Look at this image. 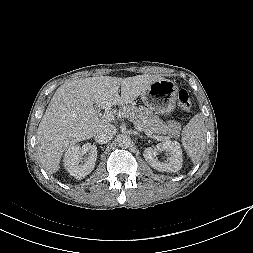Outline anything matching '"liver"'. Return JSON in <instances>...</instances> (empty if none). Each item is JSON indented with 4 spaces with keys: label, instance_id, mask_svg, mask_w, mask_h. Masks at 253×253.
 <instances>
[{
    "label": "liver",
    "instance_id": "1",
    "mask_svg": "<svg viewBox=\"0 0 253 253\" xmlns=\"http://www.w3.org/2000/svg\"><path fill=\"white\" fill-rule=\"evenodd\" d=\"M164 79L159 75H137L127 78L89 77L65 82L54 93L37 131L40 162L50 174L59 170L65 150L75 143L90 139L108 124L98 117L97 107L133 102L149 86ZM121 88V94L118 90Z\"/></svg>",
    "mask_w": 253,
    "mask_h": 253
}]
</instances>
